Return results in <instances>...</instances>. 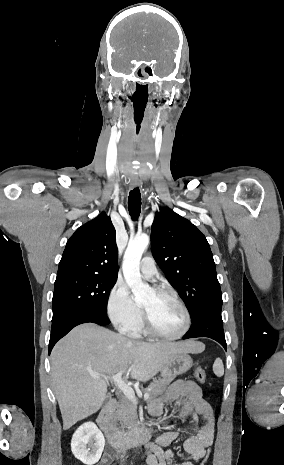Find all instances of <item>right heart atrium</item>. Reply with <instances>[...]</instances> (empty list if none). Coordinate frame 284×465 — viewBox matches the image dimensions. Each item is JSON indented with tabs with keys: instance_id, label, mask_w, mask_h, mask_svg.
<instances>
[{
	"instance_id": "right-heart-atrium-1",
	"label": "right heart atrium",
	"mask_w": 284,
	"mask_h": 465,
	"mask_svg": "<svg viewBox=\"0 0 284 465\" xmlns=\"http://www.w3.org/2000/svg\"><path fill=\"white\" fill-rule=\"evenodd\" d=\"M106 313L112 324H118L121 331L136 325L141 310L129 295L127 286L117 282L109 291L106 299Z\"/></svg>"
}]
</instances>
